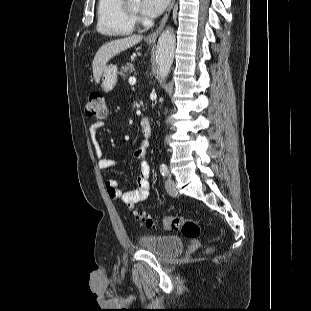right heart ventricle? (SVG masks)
<instances>
[{"label":"right heart ventricle","instance_id":"1","mask_svg":"<svg viewBox=\"0 0 311 311\" xmlns=\"http://www.w3.org/2000/svg\"><path fill=\"white\" fill-rule=\"evenodd\" d=\"M97 30L108 36H126L133 32L134 24L128 19L123 0H98Z\"/></svg>","mask_w":311,"mask_h":311}]
</instances>
